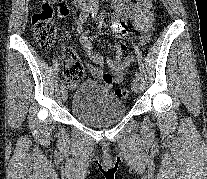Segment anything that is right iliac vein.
Wrapping results in <instances>:
<instances>
[{
  "instance_id": "obj_1",
  "label": "right iliac vein",
  "mask_w": 207,
  "mask_h": 179,
  "mask_svg": "<svg viewBox=\"0 0 207 179\" xmlns=\"http://www.w3.org/2000/svg\"><path fill=\"white\" fill-rule=\"evenodd\" d=\"M61 96H62V99L64 101L67 100V98H68V91H67L66 87H62V89H61Z\"/></svg>"
}]
</instances>
